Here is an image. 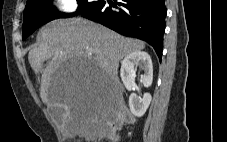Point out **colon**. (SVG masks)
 Masks as SVG:
<instances>
[{
    "mask_svg": "<svg viewBox=\"0 0 227 142\" xmlns=\"http://www.w3.org/2000/svg\"><path fill=\"white\" fill-rule=\"evenodd\" d=\"M129 121L130 118L124 110H119L116 113L109 115L106 119L107 133L112 136L117 129Z\"/></svg>",
    "mask_w": 227,
    "mask_h": 142,
    "instance_id": "obj_1",
    "label": "colon"
}]
</instances>
